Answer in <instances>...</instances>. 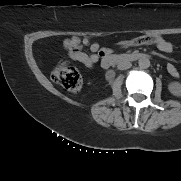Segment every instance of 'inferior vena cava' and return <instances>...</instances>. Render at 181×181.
<instances>
[{"instance_id": "inferior-vena-cava-1", "label": "inferior vena cava", "mask_w": 181, "mask_h": 181, "mask_svg": "<svg viewBox=\"0 0 181 181\" xmlns=\"http://www.w3.org/2000/svg\"><path fill=\"white\" fill-rule=\"evenodd\" d=\"M132 66V63L130 61H124L121 63V65H118V69L124 70L128 69Z\"/></svg>"}]
</instances>
